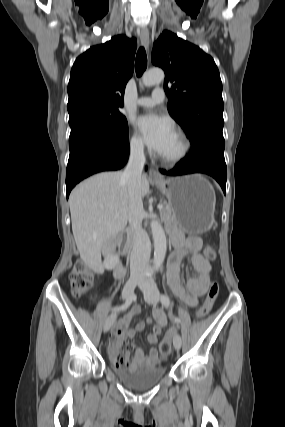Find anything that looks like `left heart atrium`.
<instances>
[{
  "instance_id": "left-heart-atrium-1",
  "label": "left heart atrium",
  "mask_w": 285,
  "mask_h": 427,
  "mask_svg": "<svg viewBox=\"0 0 285 427\" xmlns=\"http://www.w3.org/2000/svg\"><path fill=\"white\" fill-rule=\"evenodd\" d=\"M137 127L144 141L156 152H160L174 133L172 123L165 117L147 114L137 120Z\"/></svg>"
}]
</instances>
